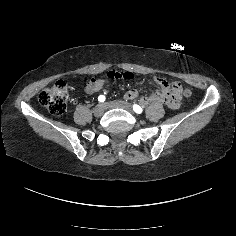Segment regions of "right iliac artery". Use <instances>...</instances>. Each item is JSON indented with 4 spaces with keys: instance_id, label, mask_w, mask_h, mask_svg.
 <instances>
[{
    "instance_id": "1",
    "label": "right iliac artery",
    "mask_w": 236,
    "mask_h": 236,
    "mask_svg": "<svg viewBox=\"0 0 236 236\" xmlns=\"http://www.w3.org/2000/svg\"><path fill=\"white\" fill-rule=\"evenodd\" d=\"M98 101H99V102H104V101H105V96H104V95H100V96L98 97Z\"/></svg>"
}]
</instances>
